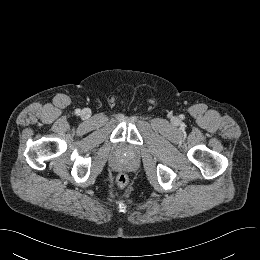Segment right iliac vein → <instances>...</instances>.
I'll use <instances>...</instances> for the list:
<instances>
[{"label": "right iliac vein", "mask_w": 260, "mask_h": 260, "mask_svg": "<svg viewBox=\"0 0 260 260\" xmlns=\"http://www.w3.org/2000/svg\"><path fill=\"white\" fill-rule=\"evenodd\" d=\"M90 115H91V112H90V110H88V109H84V110H82V112H81V116H82V118H84V119L89 118Z\"/></svg>", "instance_id": "right-iliac-vein-1"}]
</instances>
